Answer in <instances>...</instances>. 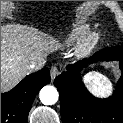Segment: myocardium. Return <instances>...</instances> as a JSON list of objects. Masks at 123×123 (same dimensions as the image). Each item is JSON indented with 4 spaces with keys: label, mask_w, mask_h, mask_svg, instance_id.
<instances>
[{
    "label": "myocardium",
    "mask_w": 123,
    "mask_h": 123,
    "mask_svg": "<svg viewBox=\"0 0 123 123\" xmlns=\"http://www.w3.org/2000/svg\"><path fill=\"white\" fill-rule=\"evenodd\" d=\"M101 39V33L97 30L88 33L75 48L77 57L82 58L90 54L98 45Z\"/></svg>",
    "instance_id": "myocardium-1"
}]
</instances>
